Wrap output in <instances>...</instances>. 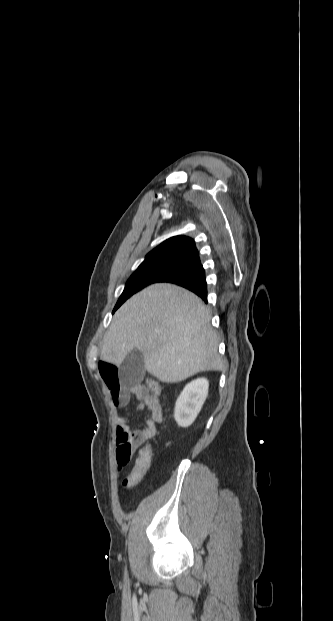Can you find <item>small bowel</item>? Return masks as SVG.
<instances>
[{"mask_svg": "<svg viewBox=\"0 0 333 621\" xmlns=\"http://www.w3.org/2000/svg\"><path fill=\"white\" fill-rule=\"evenodd\" d=\"M99 372L103 379L112 403L116 407H127L131 397L138 400L137 411L146 410L145 426L130 429L134 418H120L116 430L115 456L119 469L129 463L135 449L146 440L155 436L157 425L162 422L163 413L159 396L152 393L148 382L125 385L119 376L118 367L107 360L99 362Z\"/></svg>", "mask_w": 333, "mask_h": 621, "instance_id": "obj_1", "label": "small bowel"}]
</instances>
